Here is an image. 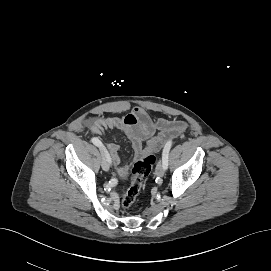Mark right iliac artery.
Segmentation results:
<instances>
[{
	"label": "right iliac artery",
	"instance_id": "obj_1",
	"mask_svg": "<svg viewBox=\"0 0 271 271\" xmlns=\"http://www.w3.org/2000/svg\"><path fill=\"white\" fill-rule=\"evenodd\" d=\"M91 141H92V143H93L94 145L98 146L100 149L106 150V148L104 147V145L102 144V142H101L98 138L93 137V138L91 139ZM106 153H107V155H108V157H109V161L111 162V159H110V156H109L107 150H106Z\"/></svg>",
	"mask_w": 271,
	"mask_h": 271
}]
</instances>
